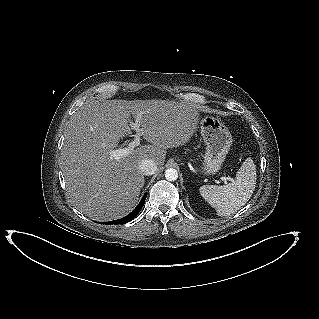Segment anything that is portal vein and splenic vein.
Instances as JSON below:
<instances>
[{
  "label": "portal vein and splenic vein",
  "mask_w": 319,
  "mask_h": 319,
  "mask_svg": "<svg viewBox=\"0 0 319 319\" xmlns=\"http://www.w3.org/2000/svg\"><path fill=\"white\" fill-rule=\"evenodd\" d=\"M140 116H141V114H139L137 116L135 123L131 124V127H133V129L136 130V134H135L134 139L131 142H129L127 147L119 148V149L111 151V156L114 159L120 160V159L128 156L129 154H131L134 151L135 147L140 144V137L142 135V132L139 129L140 128V125H139ZM221 180L224 181V183H227L228 180L231 182L233 181V179L230 177H221Z\"/></svg>",
  "instance_id": "obj_1"
}]
</instances>
